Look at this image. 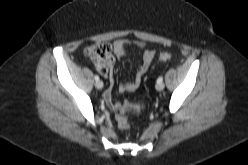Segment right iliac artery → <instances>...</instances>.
I'll list each match as a JSON object with an SVG mask.
<instances>
[{"mask_svg": "<svg viewBox=\"0 0 248 165\" xmlns=\"http://www.w3.org/2000/svg\"><path fill=\"white\" fill-rule=\"evenodd\" d=\"M95 80L98 81L99 80V76L98 75H95Z\"/></svg>", "mask_w": 248, "mask_h": 165, "instance_id": "obj_1", "label": "right iliac artery"}]
</instances>
